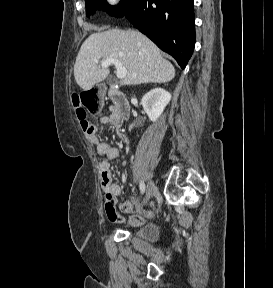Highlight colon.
I'll return each instance as SVG.
<instances>
[{
  "mask_svg": "<svg viewBox=\"0 0 273 288\" xmlns=\"http://www.w3.org/2000/svg\"><path fill=\"white\" fill-rule=\"evenodd\" d=\"M72 101L81 127L83 130L88 129L90 126L88 116L100 113L103 108L100 90L93 88L80 93H74Z\"/></svg>",
  "mask_w": 273,
  "mask_h": 288,
  "instance_id": "obj_1",
  "label": "colon"
}]
</instances>
